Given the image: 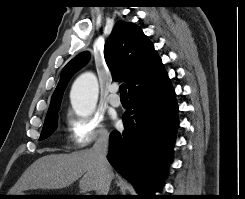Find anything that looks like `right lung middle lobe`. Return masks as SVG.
I'll use <instances>...</instances> for the list:
<instances>
[{
    "mask_svg": "<svg viewBox=\"0 0 245 199\" xmlns=\"http://www.w3.org/2000/svg\"><path fill=\"white\" fill-rule=\"evenodd\" d=\"M57 112H58V110L55 111L54 113L46 116L44 126H43L39 140H43V139L47 138L56 130Z\"/></svg>",
    "mask_w": 245,
    "mask_h": 199,
    "instance_id": "obj_1",
    "label": "right lung middle lobe"
}]
</instances>
